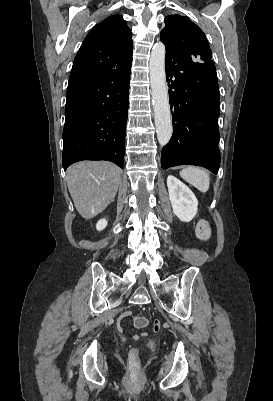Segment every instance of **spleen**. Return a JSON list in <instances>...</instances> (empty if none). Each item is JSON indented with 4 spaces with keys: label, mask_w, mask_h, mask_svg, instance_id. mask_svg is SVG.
<instances>
[{
    "label": "spleen",
    "mask_w": 273,
    "mask_h": 401,
    "mask_svg": "<svg viewBox=\"0 0 273 401\" xmlns=\"http://www.w3.org/2000/svg\"><path fill=\"white\" fill-rule=\"evenodd\" d=\"M180 176L190 184H193V186H196L201 192H207L210 186V178L207 172L203 168H198V166L183 168V170H180Z\"/></svg>",
    "instance_id": "1"
}]
</instances>
